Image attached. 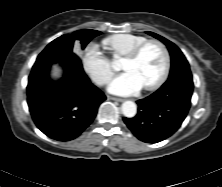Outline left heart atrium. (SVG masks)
Segmentation results:
<instances>
[{
	"instance_id": "left-heart-atrium-1",
	"label": "left heart atrium",
	"mask_w": 222,
	"mask_h": 187,
	"mask_svg": "<svg viewBox=\"0 0 222 187\" xmlns=\"http://www.w3.org/2000/svg\"><path fill=\"white\" fill-rule=\"evenodd\" d=\"M142 87L133 73L125 71L111 82L109 91L119 95H131L138 92Z\"/></svg>"
}]
</instances>
